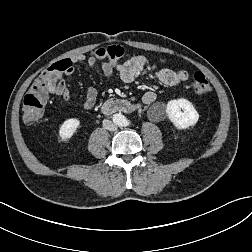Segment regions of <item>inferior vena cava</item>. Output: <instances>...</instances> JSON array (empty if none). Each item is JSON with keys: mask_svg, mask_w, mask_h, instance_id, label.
Masks as SVG:
<instances>
[{"mask_svg": "<svg viewBox=\"0 0 252 252\" xmlns=\"http://www.w3.org/2000/svg\"><path fill=\"white\" fill-rule=\"evenodd\" d=\"M103 128L109 131H116L117 126L111 120L104 119L103 120Z\"/></svg>", "mask_w": 252, "mask_h": 252, "instance_id": "1", "label": "inferior vena cava"}]
</instances>
